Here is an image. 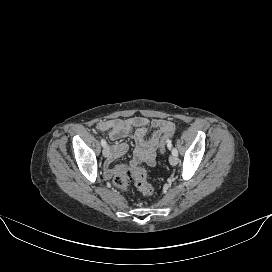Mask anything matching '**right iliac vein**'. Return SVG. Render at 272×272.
<instances>
[{
    "mask_svg": "<svg viewBox=\"0 0 272 272\" xmlns=\"http://www.w3.org/2000/svg\"><path fill=\"white\" fill-rule=\"evenodd\" d=\"M102 153H103V156H104V157H108L109 154H110L109 146L106 145V146L103 148Z\"/></svg>",
    "mask_w": 272,
    "mask_h": 272,
    "instance_id": "obj_1",
    "label": "right iliac vein"
}]
</instances>
